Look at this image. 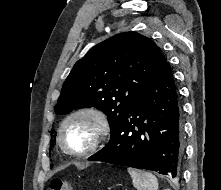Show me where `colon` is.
<instances>
[{"mask_svg":"<svg viewBox=\"0 0 221 190\" xmlns=\"http://www.w3.org/2000/svg\"><path fill=\"white\" fill-rule=\"evenodd\" d=\"M49 190H75V189L71 184L56 178L50 182Z\"/></svg>","mask_w":221,"mask_h":190,"instance_id":"5ec220e1","label":"colon"}]
</instances>
